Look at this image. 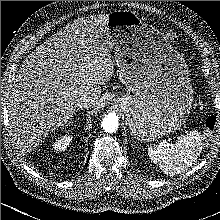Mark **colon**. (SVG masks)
Instances as JSON below:
<instances>
[{"instance_id":"colon-1","label":"colon","mask_w":220,"mask_h":220,"mask_svg":"<svg viewBox=\"0 0 220 220\" xmlns=\"http://www.w3.org/2000/svg\"><path fill=\"white\" fill-rule=\"evenodd\" d=\"M170 41H171L172 43L176 44V43L178 42V39H177L176 36H172V37L170 38Z\"/></svg>"}]
</instances>
